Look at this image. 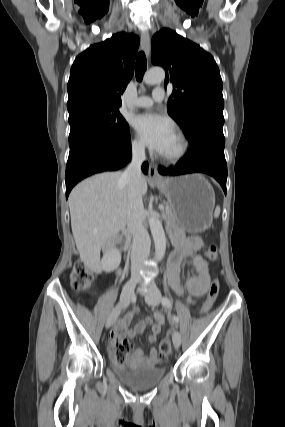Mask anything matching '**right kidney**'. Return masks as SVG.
I'll list each match as a JSON object with an SVG mask.
<instances>
[{"instance_id": "obj_1", "label": "right kidney", "mask_w": 285, "mask_h": 427, "mask_svg": "<svg viewBox=\"0 0 285 427\" xmlns=\"http://www.w3.org/2000/svg\"><path fill=\"white\" fill-rule=\"evenodd\" d=\"M121 262V253L117 248L109 249L103 255L101 260L102 269L109 273L115 270Z\"/></svg>"}]
</instances>
